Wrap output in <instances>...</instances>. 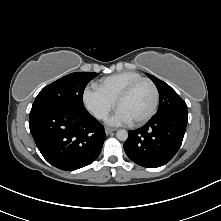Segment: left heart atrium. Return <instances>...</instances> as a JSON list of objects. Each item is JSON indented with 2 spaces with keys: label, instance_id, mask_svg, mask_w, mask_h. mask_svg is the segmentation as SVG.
Wrapping results in <instances>:
<instances>
[{
  "label": "left heart atrium",
  "instance_id": "left-heart-atrium-1",
  "mask_svg": "<svg viewBox=\"0 0 221 221\" xmlns=\"http://www.w3.org/2000/svg\"><path fill=\"white\" fill-rule=\"evenodd\" d=\"M131 122L128 116L120 109H118L114 115L109 119L111 125L119 126Z\"/></svg>",
  "mask_w": 221,
  "mask_h": 221
}]
</instances>
